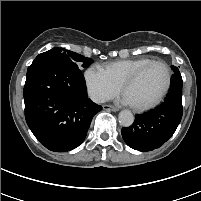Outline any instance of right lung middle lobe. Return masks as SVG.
Wrapping results in <instances>:
<instances>
[{
    "label": "right lung middle lobe",
    "instance_id": "obj_1",
    "mask_svg": "<svg viewBox=\"0 0 201 201\" xmlns=\"http://www.w3.org/2000/svg\"><path fill=\"white\" fill-rule=\"evenodd\" d=\"M42 60L62 62V63L72 65L76 68H78V65L76 64V62H81L82 63L81 66L83 68H87L93 62V60L90 58H86L75 52L65 50L63 48H57V47L47 52L39 54L33 62L42 61Z\"/></svg>",
    "mask_w": 201,
    "mask_h": 201
}]
</instances>
